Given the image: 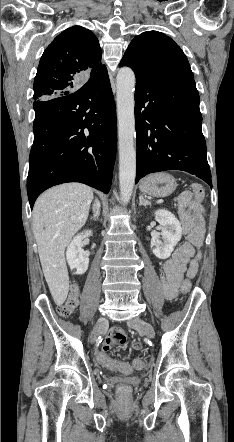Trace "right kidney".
Segmentation results:
<instances>
[{
    "label": "right kidney",
    "mask_w": 234,
    "mask_h": 442,
    "mask_svg": "<svg viewBox=\"0 0 234 442\" xmlns=\"http://www.w3.org/2000/svg\"><path fill=\"white\" fill-rule=\"evenodd\" d=\"M91 235V230L81 232L73 238L67 248L66 257L68 265L71 270H76L75 274L77 275L84 274L88 269L89 258L85 255L81 242L85 237H89Z\"/></svg>",
    "instance_id": "1"
}]
</instances>
